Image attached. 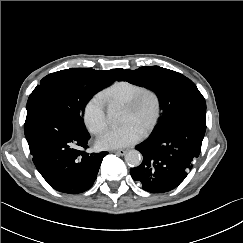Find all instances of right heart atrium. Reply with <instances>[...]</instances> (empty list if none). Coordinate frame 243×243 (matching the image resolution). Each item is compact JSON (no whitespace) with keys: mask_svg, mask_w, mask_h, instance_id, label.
<instances>
[{"mask_svg":"<svg viewBox=\"0 0 243 243\" xmlns=\"http://www.w3.org/2000/svg\"><path fill=\"white\" fill-rule=\"evenodd\" d=\"M83 119L85 126L93 134H99L105 129L107 126L106 100L102 94H96L87 101Z\"/></svg>","mask_w":243,"mask_h":243,"instance_id":"obj_1","label":"right heart atrium"}]
</instances>
